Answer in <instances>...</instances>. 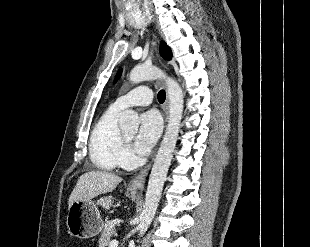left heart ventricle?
<instances>
[{
    "label": "left heart ventricle",
    "instance_id": "1",
    "mask_svg": "<svg viewBox=\"0 0 310 247\" xmlns=\"http://www.w3.org/2000/svg\"><path fill=\"white\" fill-rule=\"evenodd\" d=\"M133 135H134L133 133L125 134L126 138H128V139H131L133 137Z\"/></svg>",
    "mask_w": 310,
    "mask_h": 247
}]
</instances>
